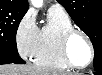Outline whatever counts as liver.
I'll list each match as a JSON object with an SVG mask.
<instances>
[{"mask_svg": "<svg viewBox=\"0 0 102 75\" xmlns=\"http://www.w3.org/2000/svg\"><path fill=\"white\" fill-rule=\"evenodd\" d=\"M0 75H65L36 65L7 64L0 66Z\"/></svg>", "mask_w": 102, "mask_h": 75, "instance_id": "1", "label": "liver"}]
</instances>
